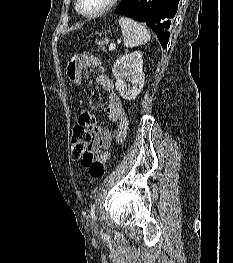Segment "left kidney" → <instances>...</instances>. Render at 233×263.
Here are the masks:
<instances>
[{"instance_id": "left-kidney-1", "label": "left kidney", "mask_w": 233, "mask_h": 263, "mask_svg": "<svg viewBox=\"0 0 233 263\" xmlns=\"http://www.w3.org/2000/svg\"><path fill=\"white\" fill-rule=\"evenodd\" d=\"M112 73L116 78L115 87L120 96L126 100L135 99L145 80L142 53L135 51L120 56L113 65ZM127 81L131 82L132 86L127 85Z\"/></svg>"}]
</instances>
